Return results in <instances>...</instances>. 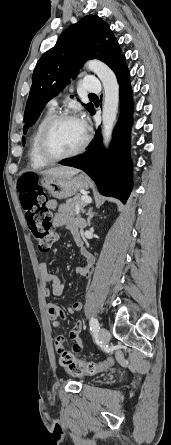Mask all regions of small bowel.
Listing matches in <instances>:
<instances>
[{
    "label": "small bowel",
    "instance_id": "small-bowel-1",
    "mask_svg": "<svg viewBox=\"0 0 171 445\" xmlns=\"http://www.w3.org/2000/svg\"><path fill=\"white\" fill-rule=\"evenodd\" d=\"M47 207L49 209H57L58 203L55 200H49L47 202ZM85 221L81 217H74L71 213L60 210L53 217V225L56 227H67L73 234L77 245L81 248L82 254L87 260V265L81 266L77 269L78 275L83 279H87L93 269L95 259L91 253H89L84 247L82 240L79 235V230L84 226ZM40 281L43 285V293L45 296L53 295L55 297H60L64 294L65 285L60 277L53 272L47 270L45 263H40L39 265ZM82 308V303L80 301H75L69 307V313L75 314ZM47 315L52 322L54 328L60 327V320H64L66 315L64 311L56 304L47 303L46 304ZM82 330V324L80 321H76L74 326L70 329L69 336L74 341L72 345V350L74 352L80 351L83 348V342L80 338V333ZM64 337L60 334L54 336V346L57 351L63 349Z\"/></svg>",
    "mask_w": 171,
    "mask_h": 445
}]
</instances>
